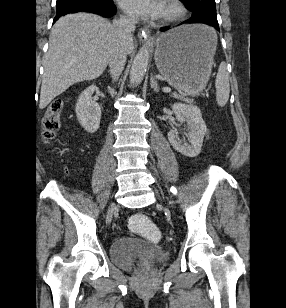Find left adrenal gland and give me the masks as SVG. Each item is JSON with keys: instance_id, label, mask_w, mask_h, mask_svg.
Masks as SVG:
<instances>
[{"instance_id": "a2214340", "label": "left adrenal gland", "mask_w": 286, "mask_h": 308, "mask_svg": "<svg viewBox=\"0 0 286 308\" xmlns=\"http://www.w3.org/2000/svg\"><path fill=\"white\" fill-rule=\"evenodd\" d=\"M150 86L153 89L154 92L158 93L159 92V86L158 82L155 80V77L152 75L150 78Z\"/></svg>"}]
</instances>
